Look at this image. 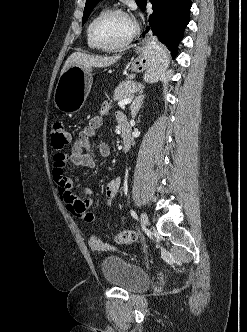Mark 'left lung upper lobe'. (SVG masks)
Here are the masks:
<instances>
[{
	"instance_id": "obj_1",
	"label": "left lung upper lobe",
	"mask_w": 247,
	"mask_h": 332,
	"mask_svg": "<svg viewBox=\"0 0 247 332\" xmlns=\"http://www.w3.org/2000/svg\"><path fill=\"white\" fill-rule=\"evenodd\" d=\"M101 0H86L85 8H84V15L82 19V25L88 19L90 13L92 12L93 8L100 2ZM137 5L139 8H143L146 4V0H136Z\"/></svg>"
}]
</instances>
